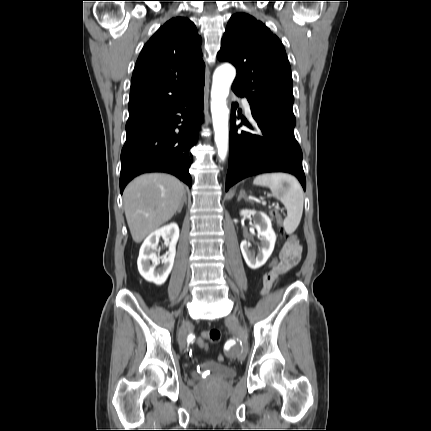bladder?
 Returning a JSON list of instances; mask_svg holds the SVG:
<instances>
[{
    "instance_id": "31cf9c89",
    "label": "bladder",
    "mask_w": 431,
    "mask_h": 431,
    "mask_svg": "<svg viewBox=\"0 0 431 431\" xmlns=\"http://www.w3.org/2000/svg\"><path fill=\"white\" fill-rule=\"evenodd\" d=\"M235 375L236 371L234 368L215 361H205L198 369L192 371V376L198 380L210 379L221 381L233 378Z\"/></svg>"
}]
</instances>
